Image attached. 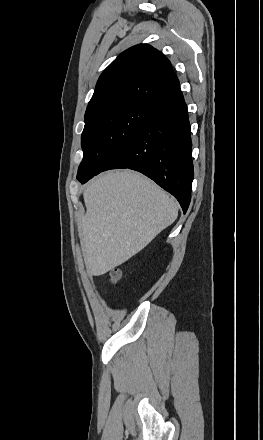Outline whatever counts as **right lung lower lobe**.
<instances>
[{
	"label": "right lung lower lobe",
	"instance_id": "right-lung-lower-lobe-1",
	"mask_svg": "<svg viewBox=\"0 0 263 440\" xmlns=\"http://www.w3.org/2000/svg\"><path fill=\"white\" fill-rule=\"evenodd\" d=\"M191 149L187 105L179 89L154 105L145 124L103 171L129 168L143 173L171 193L185 213L194 177Z\"/></svg>",
	"mask_w": 263,
	"mask_h": 440
}]
</instances>
